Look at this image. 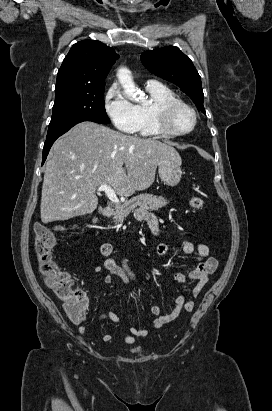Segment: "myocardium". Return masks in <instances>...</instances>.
<instances>
[{
  "label": "myocardium",
  "instance_id": "myocardium-1",
  "mask_svg": "<svg viewBox=\"0 0 272 411\" xmlns=\"http://www.w3.org/2000/svg\"><path fill=\"white\" fill-rule=\"evenodd\" d=\"M179 109H185L192 115V123L185 130H175L172 127L171 120L174 112ZM154 121L158 131L166 138H176L191 133L198 121L196 111L185 101L180 99L169 100L157 105L153 110Z\"/></svg>",
  "mask_w": 272,
  "mask_h": 411
}]
</instances>
